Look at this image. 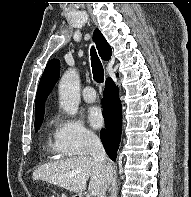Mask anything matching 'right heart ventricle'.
I'll return each instance as SVG.
<instances>
[{"label": "right heart ventricle", "mask_w": 191, "mask_h": 197, "mask_svg": "<svg viewBox=\"0 0 191 197\" xmlns=\"http://www.w3.org/2000/svg\"><path fill=\"white\" fill-rule=\"evenodd\" d=\"M46 149L54 154H58V157L62 156L57 151L55 134H53L51 131L47 132Z\"/></svg>", "instance_id": "obj_1"}]
</instances>
